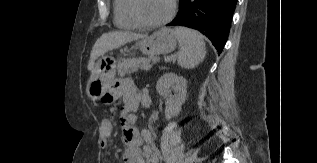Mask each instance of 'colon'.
<instances>
[{
	"instance_id": "obj_1",
	"label": "colon",
	"mask_w": 317,
	"mask_h": 163,
	"mask_svg": "<svg viewBox=\"0 0 317 163\" xmlns=\"http://www.w3.org/2000/svg\"><path fill=\"white\" fill-rule=\"evenodd\" d=\"M103 101L105 102V103H111L112 101H113V97L112 96H109V95H107V96H105V98L103 99Z\"/></svg>"
}]
</instances>
